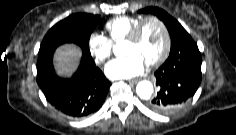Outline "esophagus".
Returning a JSON list of instances; mask_svg holds the SVG:
<instances>
[{
  "mask_svg": "<svg viewBox=\"0 0 236 135\" xmlns=\"http://www.w3.org/2000/svg\"><path fill=\"white\" fill-rule=\"evenodd\" d=\"M130 84H136L138 82V79H130L128 80Z\"/></svg>",
  "mask_w": 236,
  "mask_h": 135,
  "instance_id": "esophagus-1",
  "label": "esophagus"
}]
</instances>
